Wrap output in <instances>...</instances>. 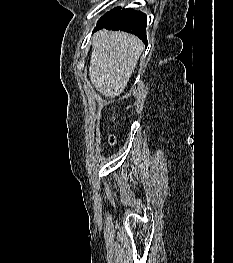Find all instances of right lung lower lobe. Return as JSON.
Instances as JSON below:
<instances>
[{"label": "right lung lower lobe", "mask_w": 233, "mask_h": 263, "mask_svg": "<svg viewBox=\"0 0 233 263\" xmlns=\"http://www.w3.org/2000/svg\"><path fill=\"white\" fill-rule=\"evenodd\" d=\"M147 17L141 11H135L131 8L121 10L113 19L107 23H98L94 31L102 28L109 30H120L135 34L144 41L146 39Z\"/></svg>", "instance_id": "98d812e1"}]
</instances>
